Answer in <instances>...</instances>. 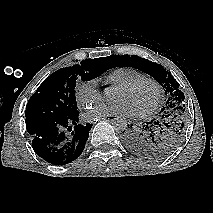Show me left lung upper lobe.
Segmentation results:
<instances>
[{
	"label": "left lung upper lobe",
	"instance_id": "obj_1",
	"mask_svg": "<svg viewBox=\"0 0 213 213\" xmlns=\"http://www.w3.org/2000/svg\"><path fill=\"white\" fill-rule=\"evenodd\" d=\"M114 67H133L151 75L163 86L168 99L159 116L152 120L151 129L142 135L141 157L160 160L175 151L181 143L186 128L187 114L184 93L179 90V83L163 68L147 59L130 55L111 56Z\"/></svg>",
	"mask_w": 213,
	"mask_h": 213
}]
</instances>
